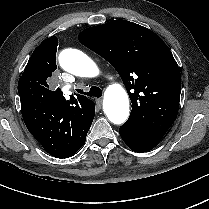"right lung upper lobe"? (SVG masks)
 I'll return each mask as SVG.
<instances>
[{
    "label": "right lung upper lobe",
    "instance_id": "right-lung-upper-lobe-1",
    "mask_svg": "<svg viewBox=\"0 0 209 209\" xmlns=\"http://www.w3.org/2000/svg\"><path fill=\"white\" fill-rule=\"evenodd\" d=\"M58 39L52 36L44 40L32 53L24 72L29 68L32 58L41 53L54 54L57 51ZM35 94L32 91H22L19 93L20 100H24L28 93ZM71 96L70 100H66L60 89L50 91L46 99H50L58 108L59 111L54 117L52 126L67 129L70 139L77 142L83 139L92 124L95 115V104L85 96Z\"/></svg>",
    "mask_w": 209,
    "mask_h": 209
}]
</instances>
